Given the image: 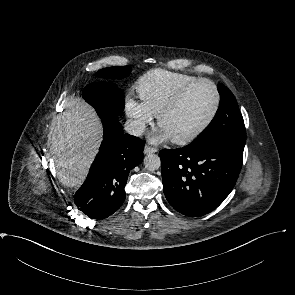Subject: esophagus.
Listing matches in <instances>:
<instances>
[{"instance_id": "1", "label": "esophagus", "mask_w": 295, "mask_h": 295, "mask_svg": "<svg viewBox=\"0 0 295 295\" xmlns=\"http://www.w3.org/2000/svg\"><path fill=\"white\" fill-rule=\"evenodd\" d=\"M156 152H157L156 148H153V147L148 146V145H146L144 147V154H151V153H156Z\"/></svg>"}]
</instances>
